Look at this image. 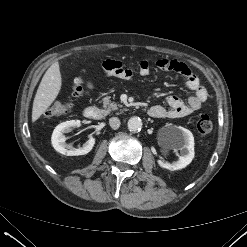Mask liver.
Segmentation results:
<instances>
[{
  "mask_svg": "<svg viewBox=\"0 0 247 247\" xmlns=\"http://www.w3.org/2000/svg\"><path fill=\"white\" fill-rule=\"evenodd\" d=\"M62 78L58 62L53 63L45 72L37 89L32 108V122L46 112L58 96Z\"/></svg>",
  "mask_w": 247,
  "mask_h": 247,
  "instance_id": "1",
  "label": "liver"
}]
</instances>
